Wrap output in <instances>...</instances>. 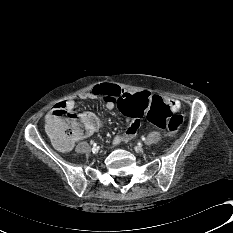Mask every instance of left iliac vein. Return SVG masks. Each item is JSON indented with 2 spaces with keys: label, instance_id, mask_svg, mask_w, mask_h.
<instances>
[{
  "label": "left iliac vein",
  "instance_id": "obj_1",
  "mask_svg": "<svg viewBox=\"0 0 233 233\" xmlns=\"http://www.w3.org/2000/svg\"><path fill=\"white\" fill-rule=\"evenodd\" d=\"M134 150H135L136 152H138V153H142V152L144 151V149H143L142 146H136V147L134 148Z\"/></svg>",
  "mask_w": 233,
  "mask_h": 233
}]
</instances>
